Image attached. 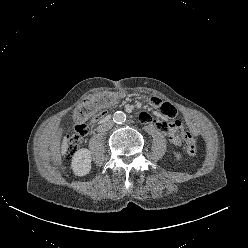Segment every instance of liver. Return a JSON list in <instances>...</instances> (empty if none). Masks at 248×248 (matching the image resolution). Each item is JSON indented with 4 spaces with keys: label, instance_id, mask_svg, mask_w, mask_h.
I'll return each mask as SVG.
<instances>
[{
    "label": "liver",
    "instance_id": "liver-1",
    "mask_svg": "<svg viewBox=\"0 0 248 248\" xmlns=\"http://www.w3.org/2000/svg\"><path fill=\"white\" fill-rule=\"evenodd\" d=\"M65 152H66V145L65 143H63L61 147V155L65 154Z\"/></svg>",
    "mask_w": 248,
    "mask_h": 248
}]
</instances>
